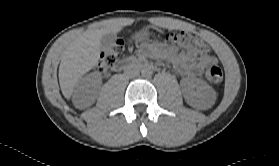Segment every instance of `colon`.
Returning a JSON list of instances; mask_svg holds the SVG:
<instances>
[{
	"instance_id": "5ec220e1",
	"label": "colon",
	"mask_w": 279,
	"mask_h": 166,
	"mask_svg": "<svg viewBox=\"0 0 279 166\" xmlns=\"http://www.w3.org/2000/svg\"><path fill=\"white\" fill-rule=\"evenodd\" d=\"M164 39L167 43L177 45L196 56H203L207 52L204 42L187 32H169L165 34ZM123 49V42L117 40L112 47L102 53L97 69L100 72H105L113 67L121 56ZM205 76L210 83L219 84L223 79V70L220 66L211 64L206 68Z\"/></svg>"
}]
</instances>
